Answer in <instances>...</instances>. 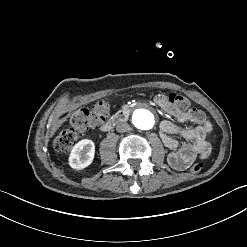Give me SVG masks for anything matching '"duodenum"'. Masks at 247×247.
Returning <instances> with one entry per match:
<instances>
[{
    "instance_id": "duodenum-1",
    "label": "duodenum",
    "mask_w": 247,
    "mask_h": 247,
    "mask_svg": "<svg viewBox=\"0 0 247 247\" xmlns=\"http://www.w3.org/2000/svg\"><path fill=\"white\" fill-rule=\"evenodd\" d=\"M130 108H123L117 111L111 118H109L105 123H103L101 130L104 132L110 131L117 123L126 119L130 114Z\"/></svg>"
}]
</instances>
